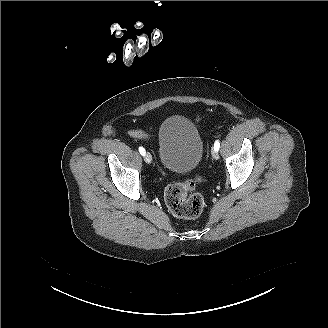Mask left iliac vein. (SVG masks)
Listing matches in <instances>:
<instances>
[{"mask_svg":"<svg viewBox=\"0 0 328 328\" xmlns=\"http://www.w3.org/2000/svg\"><path fill=\"white\" fill-rule=\"evenodd\" d=\"M211 154H212V157H213L215 160H218L219 156H218V153H217L216 150L213 149L212 152H211Z\"/></svg>","mask_w":328,"mask_h":328,"instance_id":"obj_1","label":"left iliac vein"}]
</instances>
